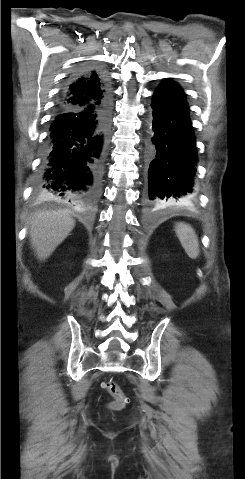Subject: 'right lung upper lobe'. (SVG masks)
Returning <instances> with one entry per match:
<instances>
[{"instance_id":"right-lung-upper-lobe-1","label":"right lung upper lobe","mask_w":245,"mask_h":479,"mask_svg":"<svg viewBox=\"0 0 245 479\" xmlns=\"http://www.w3.org/2000/svg\"><path fill=\"white\" fill-rule=\"evenodd\" d=\"M109 95L110 91L105 75L101 71L90 70L66 86L59 104L60 106L84 107L91 103L101 102Z\"/></svg>"}]
</instances>
